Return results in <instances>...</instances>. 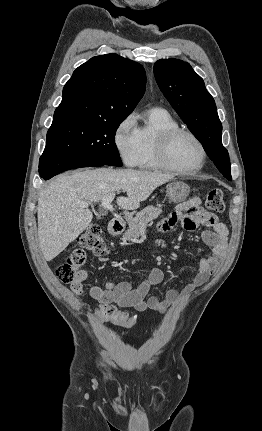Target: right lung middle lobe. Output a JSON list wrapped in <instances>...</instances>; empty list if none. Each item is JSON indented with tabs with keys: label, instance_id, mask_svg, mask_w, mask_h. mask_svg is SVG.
I'll return each instance as SVG.
<instances>
[{
	"label": "right lung middle lobe",
	"instance_id": "dd1d6c3e",
	"mask_svg": "<svg viewBox=\"0 0 262 431\" xmlns=\"http://www.w3.org/2000/svg\"><path fill=\"white\" fill-rule=\"evenodd\" d=\"M124 119H84L51 125L43 156L78 157L122 166L115 133Z\"/></svg>",
	"mask_w": 262,
	"mask_h": 431
}]
</instances>
